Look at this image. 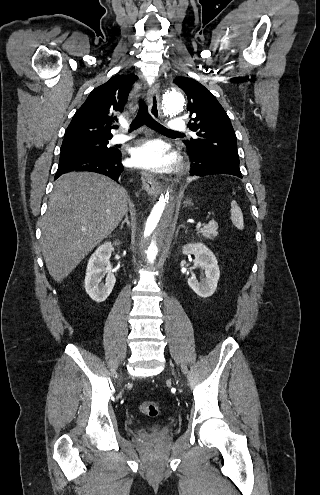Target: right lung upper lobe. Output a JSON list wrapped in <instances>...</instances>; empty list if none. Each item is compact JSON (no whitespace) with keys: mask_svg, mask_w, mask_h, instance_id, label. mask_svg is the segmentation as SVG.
<instances>
[{"mask_svg":"<svg viewBox=\"0 0 320 495\" xmlns=\"http://www.w3.org/2000/svg\"><path fill=\"white\" fill-rule=\"evenodd\" d=\"M137 79L135 74H117L95 88L74 114L63 141L82 138L111 139V124L117 121L116 114L123 111L128 94Z\"/></svg>","mask_w":320,"mask_h":495,"instance_id":"cb5924a9","label":"right lung upper lobe"}]
</instances>
